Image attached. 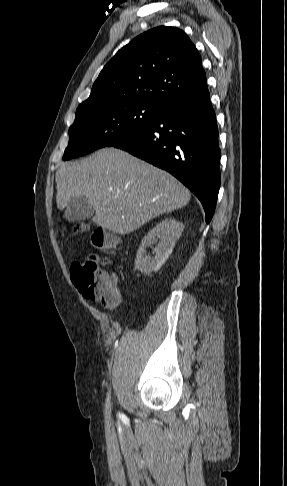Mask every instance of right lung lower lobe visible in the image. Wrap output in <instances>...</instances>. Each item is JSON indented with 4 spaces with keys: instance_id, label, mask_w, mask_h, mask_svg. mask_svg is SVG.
Wrapping results in <instances>:
<instances>
[{
    "instance_id": "right-lung-lower-lobe-1",
    "label": "right lung lower lobe",
    "mask_w": 287,
    "mask_h": 486,
    "mask_svg": "<svg viewBox=\"0 0 287 486\" xmlns=\"http://www.w3.org/2000/svg\"><path fill=\"white\" fill-rule=\"evenodd\" d=\"M170 172L201 201L209 223L220 188L216 115L206 88L163 106L132 139L114 145Z\"/></svg>"
}]
</instances>
